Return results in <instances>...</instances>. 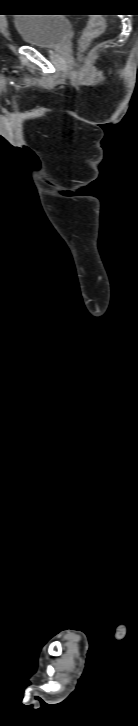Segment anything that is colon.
<instances>
[{
	"mask_svg": "<svg viewBox=\"0 0 138 726\" xmlns=\"http://www.w3.org/2000/svg\"><path fill=\"white\" fill-rule=\"evenodd\" d=\"M104 30V19L101 17L92 18L81 36L80 47H85L90 41L102 35Z\"/></svg>",
	"mask_w": 138,
	"mask_h": 726,
	"instance_id": "obj_1",
	"label": "colon"
}]
</instances>
